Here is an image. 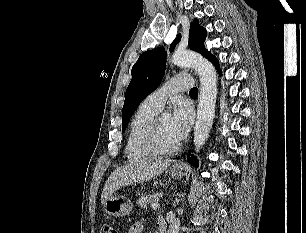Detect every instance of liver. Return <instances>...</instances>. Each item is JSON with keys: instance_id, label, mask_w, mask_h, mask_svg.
<instances>
[{"instance_id": "obj_1", "label": "liver", "mask_w": 306, "mask_h": 233, "mask_svg": "<svg viewBox=\"0 0 306 233\" xmlns=\"http://www.w3.org/2000/svg\"><path fill=\"white\" fill-rule=\"evenodd\" d=\"M169 164L170 160L137 162L114 170L104 186L102 205L116 190L133 183L149 181L164 172Z\"/></svg>"}]
</instances>
